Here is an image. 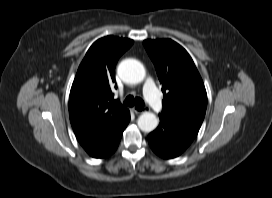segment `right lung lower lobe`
<instances>
[{
  "label": "right lung lower lobe",
  "instance_id": "right-lung-lower-lobe-1",
  "mask_svg": "<svg viewBox=\"0 0 272 198\" xmlns=\"http://www.w3.org/2000/svg\"><path fill=\"white\" fill-rule=\"evenodd\" d=\"M130 121V112L127 110L115 120L96 139L83 146L86 152L95 158L110 156L118 147L122 133Z\"/></svg>",
  "mask_w": 272,
  "mask_h": 198
}]
</instances>
